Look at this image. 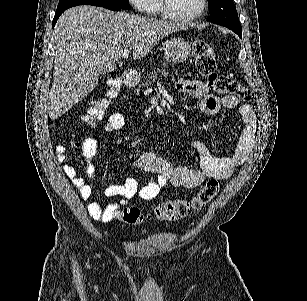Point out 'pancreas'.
I'll return each instance as SVG.
<instances>
[{
	"label": "pancreas",
	"instance_id": "cf45deb5",
	"mask_svg": "<svg viewBox=\"0 0 307 301\" xmlns=\"http://www.w3.org/2000/svg\"><path fill=\"white\" fill-rule=\"evenodd\" d=\"M159 72L161 74H164V76H168L167 68H158V70H151V72H148L147 76H144L145 80L142 82V84H139V88H144V86H150L152 82H156V80H159Z\"/></svg>",
	"mask_w": 307,
	"mask_h": 301
}]
</instances>
